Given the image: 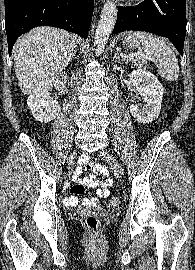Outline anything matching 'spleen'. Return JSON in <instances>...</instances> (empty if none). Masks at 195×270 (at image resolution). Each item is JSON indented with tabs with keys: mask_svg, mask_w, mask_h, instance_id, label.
I'll return each mask as SVG.
<instances>
[{
	"mask_svg": "<svg viewBox=\"0 0 195 270\" xmlns=\"http://www.w3.org/2000/svg\"><path fill=\"white\" fill-rule=\"evenodd\" d=\"M131 35L138 38L143 45L148 59L156 65L157 73L168 81H176L179 76V66L175 53L161 38L152 33L137 31Z\"/></svg>",
	"mask_w": 195,
	"mask_h": 270,
	"instance_id": "obj_1",
	"label": "spleen"
}]
</instances>
